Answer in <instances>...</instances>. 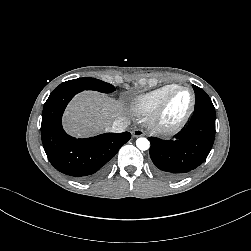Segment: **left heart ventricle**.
Masks as SVG:
<instances>
[{
  "mask_svg": "<svg viewBox=\"0 0 251 251\" xmlns=\"http://www.w3.org/2000/svg\"><path fill=\"white\" fill-rule=\"evenodd\" d=\"M190 94L187 91H179L171 98L164 115L167 122L177 121L190 104Z\"/></svg>",
  "mask_w": 251,
  "mask_h": 251,
  "instance_id": "1",
  "label": "left heart ventricle"
}]
</instances>
